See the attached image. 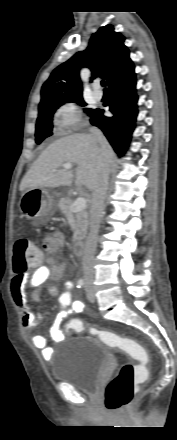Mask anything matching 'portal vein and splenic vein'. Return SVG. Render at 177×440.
Returning a JSON list of instances; mask_svg holds the SVG:
<instances>
[{
  "mask_svg": "<svg viewBox=\"0 0 177 440\" xmlns=\"http://www.w3.org/2000/svg\"><path fill=\"white\" fill-rule=\"evenodd\" d=\"M64 169H71L72 163H64L62 165ZM86 208V199L84 197H78L71 206L72 212H79Z\"/></svg>",
  "mask_w": 177,
  "mask_h": 440,
  "instance_id": "portal-vein-and-splenic-vein-1",
  "label": "portal vein and splenic vein"
}]
</instances>
